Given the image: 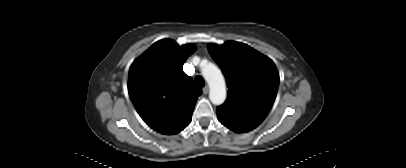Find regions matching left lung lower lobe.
<instances>
[{
  "instance_id": "0a47b994",
  "label": "left lung lower lobe",
  "mask_w": 406,
  "mask_h": 168,
  "mask_svg": "<svg viewBox=\"0 0 406 168\" xmlns=\"http://www.w3.org/2000/svg\"><path fill=\"white\" fill-rule=\"evenodd\" d=\"M218 120L229 129L242 133L257 127L261 122L246 117H241L220 109H216Z\"/></svg>"
}]
</instances>
